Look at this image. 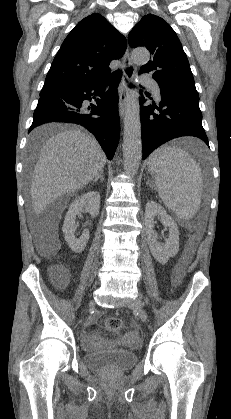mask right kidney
I'll list each match as a JSON object with an SVG mask.
<instances>
[{
    "mask_svg": "<svg viewBox=\"0 0 231 419\" xmlns=\"http://www.w3.org/2000/svg\"><path fill=\"white\" fill-rule=\"evenodd\" d=\"M100 209V194L96 191H89L76 198L68 209L63 223L62 231L69 247L75 253H81L89 240L90 233L88 229H85L82 235L77 238L75 236V219L78 214L85 211L88 212L92 217H96L99 214Z\"/></svg>",
    "mask_w": 231,
    "mask_h": 419,
    "instance_id": "obj_1",
    "label": "right kidney"
}]
</instances>
